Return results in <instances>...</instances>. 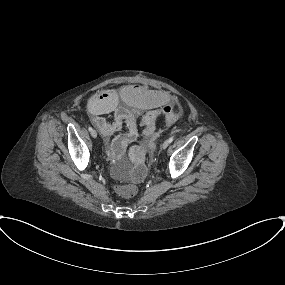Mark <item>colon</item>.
Listing matches in <instances>:
<instances>
[{"label": "colon", "mask_w": 285, "mask_h": 285, "mask_svg": "<svg viewBox=\"0 0 285 285\" xmlns=\"http://www.w3.org/2000/svg\"><path fill=\"white\" fill-rule=\"evenodd\" d=\"M159 114L155 111L147 112L141 119L143 127V135L146 137L154 136L157 130V121ZM147 172V163L143 159H139L132 167L126 183L118 188L122 195H132L135 192V184L139 183L145 177Z\"/></svg>", "instance_id": "colon-1"}]
</instances>
